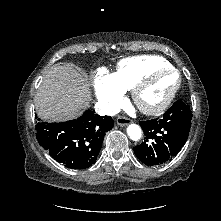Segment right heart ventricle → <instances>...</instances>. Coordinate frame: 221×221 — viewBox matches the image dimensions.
<instances>
[{
  "label": "right heart ventricle",
  "instance_id": "obj_1",
  "mask_svg": "<svg viewBox=\"0 0 221 221\" xmlns=\"http://www.w3.org/2000/svg\"><path fill=\"white\" fill-rule=\"evenodd\" d=\"M171 64L160 56H135L122 59L113 73L120 86L126 90H132L136 84L150 72Z\"/></svg>",
  "mask_w": 221,
  "mask_h": 221
}]
</instances>
